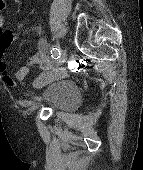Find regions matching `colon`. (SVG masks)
I'll list each match as a JSON object with an SVG mask.
<instances>
[{"mask_svg": "<svg viewBox=\"0 0 143 170\" xmlns=\"http://www.w3.org/2000/svg\"><path fill=\"white\" fill-rule=\"evenodd\" d=\"M3 9V0H0V10Z\"/></svg>", "mask_w": 143, "mask_h": 170, "instance_id": "colon-1", "label": "colon"}]
</instances>
